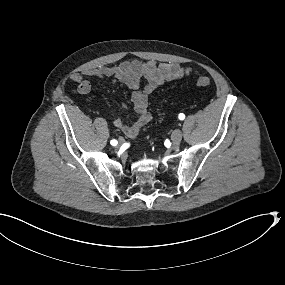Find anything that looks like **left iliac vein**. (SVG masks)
<instances>
[{"mask_svg": "<svg viewBox=\"0 0 285 285\" xmlns=\"http://www.w3.org/2000/svg\"><path fill=\"white\" fill-rule=\"evenodd\" d=\"M182 139V132L179 129H175L171 134V141L173 148H178Z\"/></svg>", "mask_w": 285, "mask_h": 285, "instance_id": "4c4485c4", "label": "left iliac vein"}]
</instances>
